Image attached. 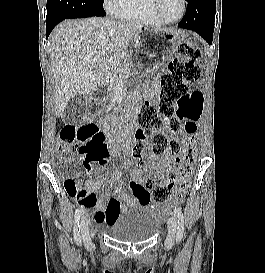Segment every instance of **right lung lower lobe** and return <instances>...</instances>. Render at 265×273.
I'll return each instance as SVG.
<instances>
[{
    "label": "right lung lower lobe",
    "mask_w": 265,
    "mask_h": 273,
    "mask_svg": "<svg viewBox=\"0 0 265 273\" xmlns=\"http://www.w3.org/2000/svg\"><path fill=\"white\" fill-rule=\"evenodd\" d=\"M58 23H47L46 26V38H48L49 34L53 30V28L57 25Z\"/></svg>",
    "instance_id": "obj_1"
}]
</instances>
